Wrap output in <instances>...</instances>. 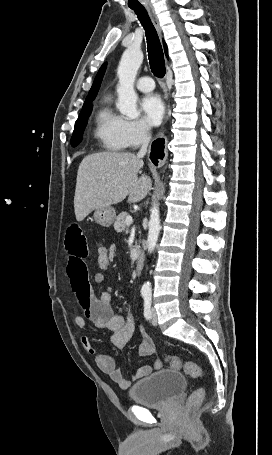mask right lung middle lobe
Instances as JSON below:
<instances>
[{
    "label": "right lung middle lobe",
    "mask_w": 272,
    "mask_h": 455,
    "mask_svg": "<svg viewBox=\"0 0 272 455\" xmlns=\"http://www.w3.org/2000/svg\"><path fill=\"white\" fill-rule=\"evenodd\" d=\"M92 107H93L92 101L85 102L82 107L80 115L75 123L73 135L71 137V145L73 147L77 146L82 140L83 131L87 124L88 116L90 115V113L92 111Z\"/></svg>",
    "instance_id": "right-lung-middle-lobe-1"
}]
</instances>
